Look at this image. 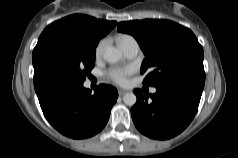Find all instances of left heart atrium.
Here are the masks:
<instances>
[{"instance_id":"39dd6f15","label":"left heart atrium","mask_w":238,"mask_h":158,"mask_svg":"<svg viewBox=\"0 0 238 158\" xmlns=\"http://www.w3.org/2000/svg\"><path fill=\"white\" fill-rule=\"evenodd\" d=\"M133 68L131 67H115L109 71V77L117 84H126L128 77L132 74Z\"/></svg>"}]
</instances>
